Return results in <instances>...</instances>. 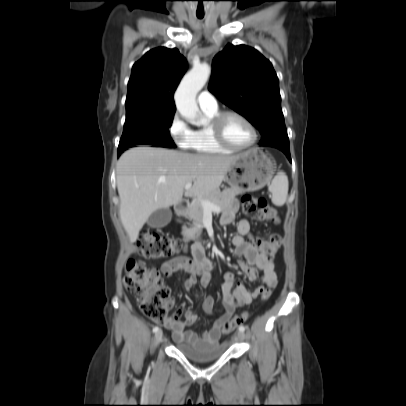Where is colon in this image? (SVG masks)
I'll return each instance as SVG.
<instances>
[{"label":"colon","mask_w":406,"mask_h":406,"mask_svg":"<svg viewBox=\"0 0 406 406\" xmlns=\"http://www.w3.org/2000/svg\"><path fill=\"white\" fill-rule=\"evenodd\" d=\"M244 211L255 213L260 221L278 223L277 210L268 205L263 197L246 195L241 199ZM136 246L140 256L146 259L166 258L181 249V242L158 231L145 229L139 234ZM280 246L279 236H272L261 242V252L267 258H272ZM125 288L138 299L143 314L155 323L164 325L167 321L166 299L169 289L164 285L160 271L143 261L131 259L127 262ZM271 289L263 291L261 299L267 301L271 296ZM248 319L247 313L234 315L223 325L224 332H230L241 326Z\"/></svg>","instance_id":"1"}]
</instances>
